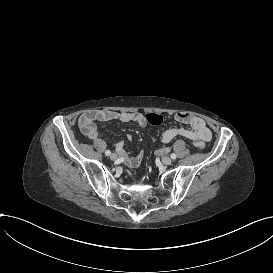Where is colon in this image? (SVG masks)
I'll list each match as a JSON object with an SVG mask.
<instances>
[{"label":"colon","instance_id":"1","mask_svg":"<svg viewBox=\"0 0 273 273\" xmlns=\"http://www.w3.org/2000/svg\"><path fill=\"white\" fill-rule=\"evenodd\" d=\"M145 119L153 125H161L164 122V117L160 114L157 113H146ZM145 155V150L144 149H139L138 152L136 153V161L138 162V166L142 167L143 166V158Z\"/></svg>","mask_w":273,"mask_h":273}]
</instances>
